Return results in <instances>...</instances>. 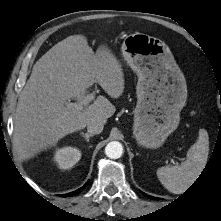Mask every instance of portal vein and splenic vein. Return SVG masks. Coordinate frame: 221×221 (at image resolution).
Returning <instances> with one entry per match:
<instances>
[{"instance_id":"1","label":"portal vein and splenic vein","mask_w":221,"mask_h":221,"mask_svg":"<svg viewBox=\"0 0 221 221\" xmlns=\"http://www.w3.org/2000/svg\"><path fill=\"white\" fill-rule=\"evenodd\" d=\"M94 93L87 95L80 103L67 102L66 106L68 108H75L77 110H84L88 104L94 99ZM171 161L174 163L173 159Z\"/></svg>"}]
</instances>
